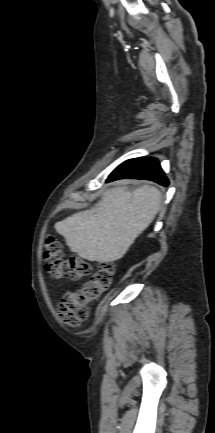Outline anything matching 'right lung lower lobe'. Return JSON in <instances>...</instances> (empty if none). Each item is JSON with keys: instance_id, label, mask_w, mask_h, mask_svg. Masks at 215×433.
I'll use <instances>...</instances> for the list:
<instances>
[{"instance_id": "obj_1", "label": "right lung lower lobe", "mask_w": 215, "mask_h": 433, "mask_svg": "<svg viewBox=\"0 0 215 433\" xmlns=\"http://www.w3.org/2000/svg\"><path fill=\"white\" fill-rule=\"evenodd\" d=\"M122 178L145 179L168 186V179L162 171L159 161L153 157L130 159L119 165L110 175L107 181Z\"/></svg>"}]
</instances>
